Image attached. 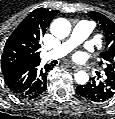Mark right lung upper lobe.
I'll return each instance as SVG.
<instances>
[{
  "instance_id": "obj_1",
  "label": "right lung upper lobe",
  "mask_w": 115,
  "mask_h": 119,
  "mask_svg": "<svg viewBox=\"0 0 115 119\" xmlns=\"http://www.w3.org/2000/svg\"><path fill=\"white\" fill-rule=\"evenodd\" d=\"M57 13V10L37 8L18 25L5 44L1 57L3 73L27 64L40 63L41 35Z\"/></svg>"
}]
</instances>
